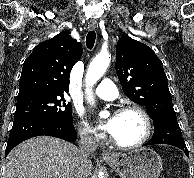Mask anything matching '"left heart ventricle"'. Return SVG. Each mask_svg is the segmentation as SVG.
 Instances as JSON below:
<instances>
[{
    "instance_id": "obj_1",
    "label": "left heart ventricle",
    "mask_w": 194,
    "mask_h": 178,
    "mask_svg": "<svg viewBox=\"0 0 194 178\" xmlns=\"http://www.w3.org/2000/svg\"><path fill=\"white\" fill-rule=\"evenodd\" d=\"M113 137L121 143L131 144L141 139L145 132L142 117L136 112H125L115 115Z\"/></svg>"
}]
</instances>
